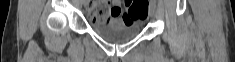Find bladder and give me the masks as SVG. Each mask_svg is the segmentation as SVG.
Returning <instances> with one entry per match:
<instances>
[{
    "label": "bladder",
    "mask_w": 235,
    "mask_h": 62,
    "mask_svg": "<svg viewBox=\"0 0 235 62\" xmlns=\"http://www.w3.org/2000/svg\"><path fill=\"white\" fill-rule=\"evenodd\" d=\"M93 31L102 39L111 43H123L134 39L140 32L138 22L125 24L118 22L112 25H92Z\"/></svg>",
    "instance_id": "bladder-1"
}]
</instances>
